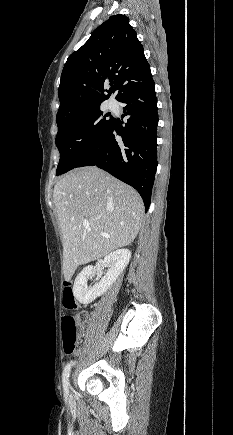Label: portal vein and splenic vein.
Returning a JSON list of instances; mask_svg holds the SVG:
<instances>
[{
	"label": "portal vein and splenic vein",
	"mask_w": 233,
	"mask_h": 435,
	"mask_svg": "<svg viewBox=\"0 0 233 435\" xmlns=\"http://www.w3.org/2000/svg\"><path fill=\"white\" fill-rule=\"evenodd\" d=\"M83 226H84L85 228H89V227H90V224H89V222L85 221V222L83 223ZM101 235H102L103 237H105V238H110V235L107 234V233H101Z\"/></svg>",
	"instance_id": "18ae733b"
}]
</instances>
